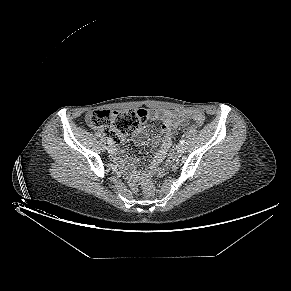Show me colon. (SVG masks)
<instances>
[{
	"label": "colon",
	"instance_id": "obj_1",
	"mask_svg": "<svg viewBox=\"0 0 291 291\" xmlns=\"http://www.w3.org/2000/svg\"><path fill=\"white\" fill-rule=\"evenodd\" d=\"M185 115L192 117L198 125H202L205 116L197 110L187 111ZM149 117L145 109H132L128 111L96 110L87 114L86 122L94 129H102L114 142H123L126 136L137 130ZM152 169H147L141 180V188L145 195L154 193L151 180Z\"/></svg>",
	"mask_w": 291,
	"mask_h": 291
}]
</instances>
